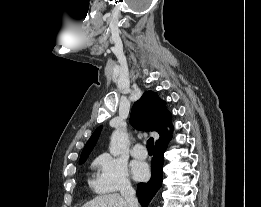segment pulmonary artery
<instances>
[{"instance_id": "e3ab8cb5", "label": "pulmonary artery", "mask_w": 261, "mask_h": 207, "mask_svg": "<svg viewBox=\"0 0 261 207\" xmlns=\"http://www.w3.org/2000/svg\"><path fill=\"white\" fill-rule=\"evenodd\" d=\"M131 153L135 158L144 159L147 157V151L141 143L136 144Z\"/></svg>"}]
</instances>
